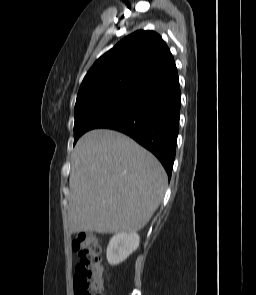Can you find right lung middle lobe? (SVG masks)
<instances>
[{"label": "right lung middle lobe", "mask_w": 256, "mask_h": 295, "mask_svg": "<svg viewBox=\"0 0 256 295\" xmlns=\"http://www.w3.org/2000/svg\"><path fill=\"white\" fill-rule=\"evenodd\" d=\"M136 96V92L122 93L94 104H78L74 109V144L88 130L99 128L119 114Z\"/></svg>", "instance_id": "right-lung-middle-lobe-1"}]
</instances>
